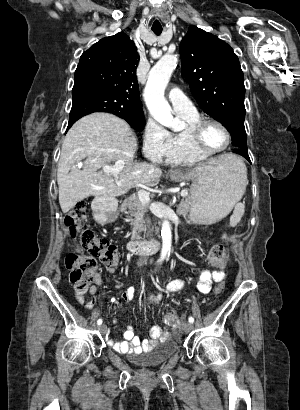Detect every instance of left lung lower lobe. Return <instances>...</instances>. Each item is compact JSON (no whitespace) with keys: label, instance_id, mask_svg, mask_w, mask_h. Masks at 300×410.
<instances>
[{"label":"left lung lower lobe","instance_id":"obj_1","mask_svg":"<svg viewBox=\"0 0 300 410\" xmlns=\"http://www.w3.org/2000/svg\"><path fill=\"white\" fill-rule=\"evenodd\" d=\"M233 152L242 155L243 157H245L251 163L247 151H244V150H241V149H236Z\"/></svg>","mask_w":300,"mask_h":410}]
</instances>
